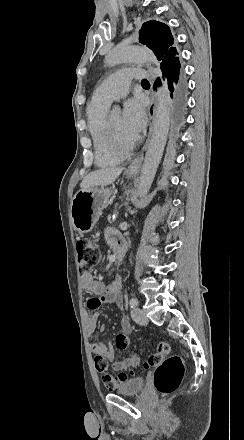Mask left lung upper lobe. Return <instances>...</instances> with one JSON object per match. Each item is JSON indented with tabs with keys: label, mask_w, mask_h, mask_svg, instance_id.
Here are the masks:
<instances>
[{
	"label": "left lung upper lobe",
	"mask_w": 244,
	"mask_h": 440,
	"mask_svg": "<svg viewBox=\"0 0 244 440\" xmlns=\"http://www.w3.org/2000/svg\"><path fill=\"white\" fill-rule=\"evenodd\" d=\"M139 40L147 45L155 53L157 59L161 61V67L173 62L178 54L175 47L170 29L164 23L151 20L142 25L139 31Z\"/></svg>",
	"instance_id": "1"
}]
</instances>
